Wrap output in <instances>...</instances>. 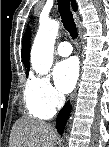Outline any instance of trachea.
I'll list each match as a JSON object with an SVG mask.
<instances>
[{"label":"trachea","instance_id":"obj_1","mask_svg":"<svg viewBox=\"0 0 109 147\" xmlns=\"http://www.w3.org/2000/svg\"><path fill=\"white\" fill-rule=\"evenodd\" d=\"M58 9L64 28L70 33L71 37L75 39L78 33L76 24L73 20V15L70 11L69 0H58Z\"/></svg>","mask_w":109,"mask_h":147}]
</instances>
